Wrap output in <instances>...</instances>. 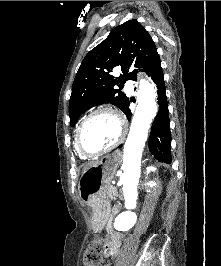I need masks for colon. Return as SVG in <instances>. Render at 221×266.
<instances>
[{"label": "colon", "mask_w": 221, "mask_h": 266, "mask_svg": "<svg viewBox=\"0 0 221 266\" xmlns=\"http://www.w3.org/2000/svg\"><path fill=\"white\" fill-rule=\"evenodd\" d=\"M103 249V238L102 237H96L94 238L85 254H84V264L85 266H98V264L101 261V252Z\"/></svg>", "instance_id": "colon-1"}]
</instances>
